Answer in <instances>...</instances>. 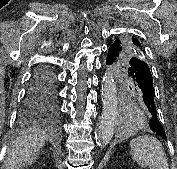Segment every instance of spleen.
Here are the masks:
<instances>
[{
    "instance_id": "1",
    "label": "spleen",
    "mask_w": 177,
    "mask_h": 169,
    "mask_svg": "<svg viewBox=\"0 0 177 169\" xmlns=\"http://www.w3.org/2000/svg\"><path fill=\"white\" fill-rule=\"evenodd\" d=\"M133 160L150 169H169L162 143L155 137L139 136L130 142Z\"/></svg>"
}]
</instances>
